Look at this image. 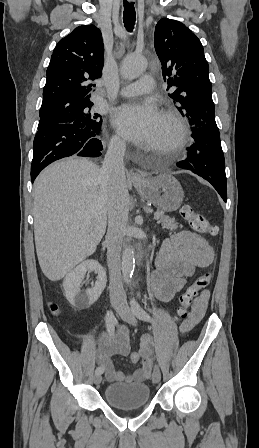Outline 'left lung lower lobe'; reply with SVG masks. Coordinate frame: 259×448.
Wrapping results in <instances>:
<instances>
[{"label": "left lung lower lobe", "instance_id": "0a47b994", "mask_svg": "<svg viewBox=\"0 0 259 448\" xmlns=\"http://www.w3.org/2000/svg\"><path fill=\"white\" fill-rule=\"evenodd\" d=\"M194 144L187 148L188 155L177 166L192 171L206 179L227 202L225 161L220 133L216 122L189 119Z\"/></svg>", "mask_w": 259, "mask_h": 448}]
</instances>
